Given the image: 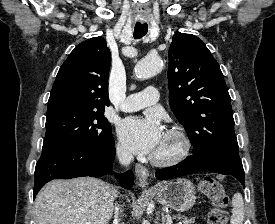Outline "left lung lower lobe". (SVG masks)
Instances as JSON below:
<instances>
[{
    "label": "left lung lower lobe",
    "instance_id": "0a47b994",
    "mask_svg": "<svg viewBox=\"0 0 275 224\" xmlns=\"http://www.w3.org/2000/svg\"><path fill=\"white\" fill-rule=\"evenodd\" d=\"M206 170L232 175L245 186L244 170L238 154L198 156L196 153H193L192 156L187 157L175 166L159 169L155 175L158 180H167Z\"/></svg>",
    "mask_w": 275,
    "mask_h": 224
}]
</instances>
